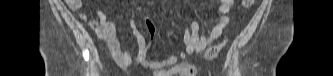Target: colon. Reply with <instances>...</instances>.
Returning <instances> with one entry per match:
<instances>
[{"label": "colon", "mask_w": 333, "mask_h": 76, "mask_svg": "<svg viewBox=\"0 0 333 76\" xmlns=\"http://www.w3.org/2000/svg\"><path fill=\"white\" fill-rule=\"evenodd\" d=\"M254 1L253 0H243L242 1V5L245 7V8H250L252 5H253ZM225 42H221V43H218L214 46H211L209 47L207 50H206V53H205V57L207 59H213L215 58L218 53L221 51V49L223 48Z\"/></svg>", "instance_id": "5ec220e1"}]
</instances>
